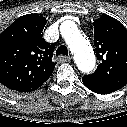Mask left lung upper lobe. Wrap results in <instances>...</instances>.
Masks as SVG:
<instances>
[{
    "mask_svg": "<svg viewBox=\"0 0 127 127\" xmlns=\"http://www.w3.org/2000/svg\"><path fill=\"white\" fill-rule=\"evenodd\" d=\"M94 46L100 61L96 71L84 77L127 85V30L116 19L102 15L94 21Z\"/></svg>",
    "mask_w": 127,
    "mask_h": 127,
    "instance_id": "left-lung-upper-lobe-1",
    "label": "left lung upper lobe"
}]
</instances>
